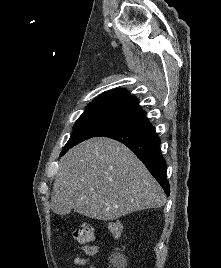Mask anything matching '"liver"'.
<instances>
[{
	"instance_id": "6515ba94",
	"label": "liver",
	"mask_w": 221,
	"mask_h": 268,
	"mask_svg": "<svg viewBox=\"0 0 221 268\" xmlns=\"http://www.w3.org/2000/svg\"><path fill=\"white\" fill-rule=\"evenodd\" d=\"M166 196L143 163L123 144L91 138L69 150L56 175L51 209L99 220L161 207Z\"/></svg>"
}]
</instances>
